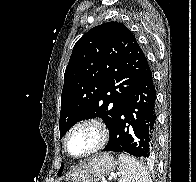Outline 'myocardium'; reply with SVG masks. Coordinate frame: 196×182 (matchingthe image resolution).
Wrapping results in <instances>:
<instances>
[{
  "mask_svg": "<svg viewBox=\"0 0 196 182\" xmlns=\"http://www.w3.org/2000/svg\"><path fill=\"white\" fill-rule=\"evenodd\" d=\"M81 128H91L92 130H94L96 134V141L94 145L85 153L80 154V155H74L69 150L68 141H69L70 136L75 131ZM108 137H109V132H108L107 126L101 120L97 118H93V117L85 118V119H81L77 121L69 128L63 140V147L68 156L74 159H83L101 150L107 143Z\"/></svg>",
  "mask_w": 196,
  "mask_h": 182,
  "instance_id": "1",
  "label": "myocardium"
}]
</instances>
